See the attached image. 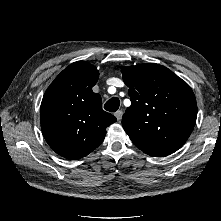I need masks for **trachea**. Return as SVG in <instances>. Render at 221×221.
Masks as SVG:
<instances>
[{"instance_id":"3493384b","label":"trachea","mask_w":221,"mask_h":221,"mask_svg":"<svg viewBox=\"0 0 221 221\" xmlns=\"http://www.w3.org/2000/svg\"><path fill=\"white\" fill-rule=\"evenodd\" d=\"M118 107H119V100L117 98L110 99L104 105V108L110 112H115L118 109Z\"/></svg>"}]
</instances>
